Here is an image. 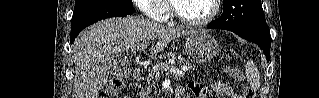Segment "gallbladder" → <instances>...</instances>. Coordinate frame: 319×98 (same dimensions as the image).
<instances>
[{
  "instance_id": "obj_1",
  "label": "gallbladder",
  "mask_w": 319,
  "mask_h": 98,
  "mask_svg": "<svg viewBox=\"0 0 319 98\" xmlns=\"http://www.w3.org/2000/svg\"><path fill=\"white\" fill-rule=\"evenodd\" d=\"M103 66L107 69V73H120L127 70L128 66L125 60L109 58L105 60Z\"/></svg>"
}]
</instances>
